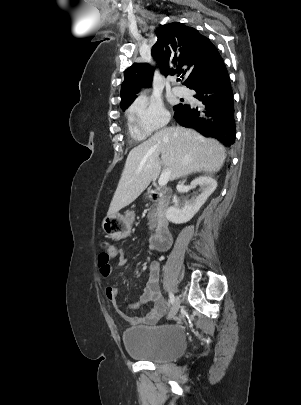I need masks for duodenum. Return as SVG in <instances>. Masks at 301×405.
Instances as JSON below:
<instances>
[{"label":"duodenum","mask_w":301,"mask_h":405,"mask_svg":"<svg viewBox=\"0 0 301 405\" xmlns=\"http://www.w3.org/2000/svg\"><path fill=\"white\" fill-rule=\"evenodd\" d=\"M152 195L159 204V219L155 232L151 236V244L154 249L164 251L169 248L171 243L167 211L172 200L173 192L170 188H159L153 190Z\"/></svg>","instance_id":"duodenum-1"}]
</instances>
